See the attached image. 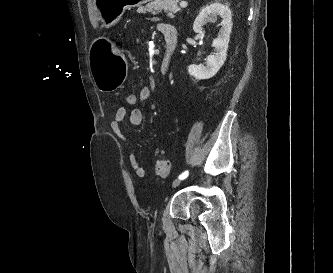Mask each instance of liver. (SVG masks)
<instances>
[{
    "mask_svg": "<svg viewBox=\"0 0 333 273\" xmlns=\"http://www.w3.org/2000/svg\"><path fill=\"white\" fill-rule=\"evenodd\" d=\"M96 3L97 0H87L89 19L95 29L98 27V22L101 18Z\"/></svg>",
    "mask_w": 333,
    "mask_h": 273,
    "instance_id": "obj_1",
    "label": "liver"
}]
</instances>
